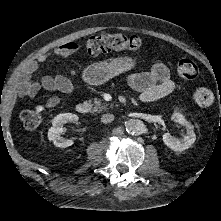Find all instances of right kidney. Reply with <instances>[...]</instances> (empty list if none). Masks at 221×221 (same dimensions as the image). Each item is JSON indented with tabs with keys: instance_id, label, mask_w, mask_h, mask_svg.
Wrapping results in <instances>:
<instances>
[{
	"instance_id": "ca27d5eb",
	"label": "right kidney",
	"mask_w": 221,
	"mask_h": 221,
	"mask_svg": "<svg viewBox=\"0 0 221 221\" xmlns=\"http://www.w3.org/2000/svg\"><path fill=\"white\" fill-rule=\"evenodd\" d=\"M78 120V116L72 113H62L54 117L52 126L48 130V139L53 141L56 147H69L74 144L72 139H66L61 136L63 132V124L67 122H74Z\"/></svg>"
}]
</instances>
